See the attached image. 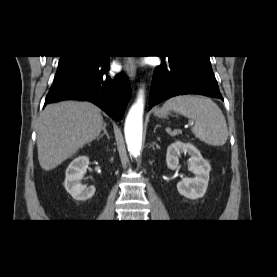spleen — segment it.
<instances>
[{"label": "spleen", "mask_w": 277, "mask_h": 277, "mask_svg": "<svg viewBox=\"0 0 277 277\" xmlns=\"http://www.w3.org/2000/svg\"><path fill=\"white\" fill-rule=\"evenodd\" d=\"M162 110H174L192 119L195 137L212 146H222L228 138L225 117L216 103L210 98L197 95H179L167 100Z\"/></svg>", "instance_id": "1"}]
</instances>
